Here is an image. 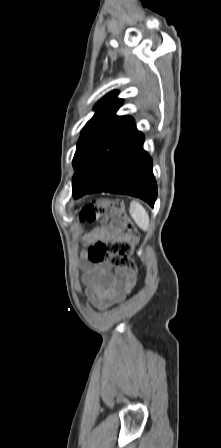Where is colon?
Listing matches in <instances>:
<instances>
[{
  "label": "colon",
  "mask_w": 221,
  "mask_h": 448,
  "mask_svg": "<svg viewBox=\"0 0 221 448\" xmlns=\"http://www.w3.org/2000/svg\"><path fill=\"white\" fill-rule=\"evenodd\" d=\"M106 215L115 218L112 223L122 227L128 239L126 241H114L109 245L94 244L89 247L87 258L91 264L108 263L125 268L137 277L138 266L133 254L140 235L134 223L124 214L123 203L113 199L94 200L80 212V218L85 223H94Z\"/></svg>",
  "instance_id": "colon-1"
}]
</instances>
